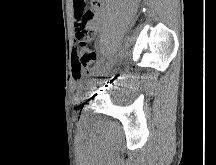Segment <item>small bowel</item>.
<instances>
[{
  "instance_id": "small-bowel-1",
  "label": "small bowel",
  "mask_w": 216,
  "mask_h": 165,
  "mask_svg": "<svg viewBox=\"0 0 216 165\" xmlns=\"http://www.w3.org/2000/svg\"><path fill=\"white\" fill-rule=\"evenodd\" d=\"M90 4L91 5H87L86 0H73V11L75 32L79 29L81 24L84 23V14L92 13L91 19L85 22V26L93 36L102 26L104 16L103 0H90Z\"/></svg>"
}]
</instances>
